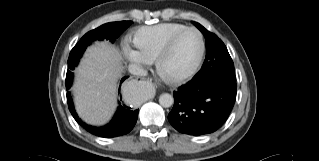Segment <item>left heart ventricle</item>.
I'll return each instance as SVG.
<instances>
[{
    "mask_svg": "<svg viewBox=\"0 0 319 161\" xmlns=\"http://www.w3.org/2000/svg\"><path fill=\"white\" fill-rule=\"evenodd\" d=\"M199 48V38L195 32L183 34L166 57L164 71L168 74H180L189 70L198 57Z\"/></svg>",
    "mask_w": 319,
    "mask_h": 161,
    "instance_id": "b2bd125f",
    "label": "left heart ventricle"
}]
</instances>
